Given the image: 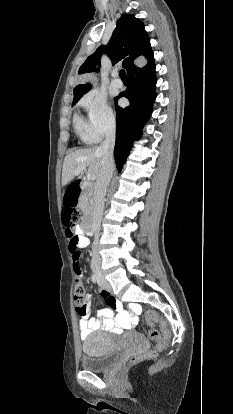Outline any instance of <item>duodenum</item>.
Returning <instances> with one entry per match:
<instances>
[{
  "instance_id": "obj_1",
  "label": "duodenum",
  "mask_w": 233,
  "mask_h": 414,
  "mask_svg": "<svg viewBox=\"0 0 233 414\" xmlns=\"http://www.w3.org/2000/svg\"><path fill=\"white\" fill-rule=\"evenodd\" d=\"M70 184L67 185L65 189V199L61 202L63 206V210L65 212H72L74 210V206L78 203V197L82 190L87 187V183L83 180H76L71 179ZM90 193L89 191L87 192ZM90 197L89 195L87 196ZM92 208L91 206L89 207ZM83 218L85 219L82 223V230L88 234H93V226H92V213L90 211H85L83 213Z\"/></svg>"
}]
</instances>
